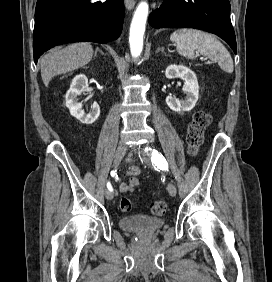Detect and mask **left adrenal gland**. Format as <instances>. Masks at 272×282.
I'll list each match as a JSON object with an SVG mask.
<instances>
[{"label":"left adrenal gland","instance_id":"obj_1","mask_svg":"<svg viewBox=\"0 0 272 282\" xmlns=\"http://www.w3.org/2000/svg\"><path fill=\"white\" fill-rule=\"evenodd\" d=\"M158 52H162L165 56H169L165 51H164V47H158V49L156 50V53Z\"/></svg>","mask_w":272,"mask_h":282}]
</instances>
